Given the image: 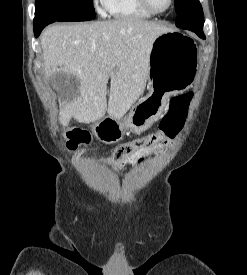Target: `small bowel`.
<instances>
[{
  "label": "small bowel",
  "mask_w": 247,
  "mask_h": 275,
  "mask_svg": "<svg viewBox=\"0 0 247 275\" xmlns=\"http://www.w3.org/2000/svg\"><path fill=\"white\" fill-rule=\"evenodd\" d=\"M144 153V150L140 151L138 154L139 155H142ZM128 161L124 162V163H127Z\"/></svg>",
  "instance_id": "1"
}]
</instances>
